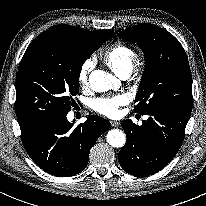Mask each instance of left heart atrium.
<instances>
[{
	"label": "left heart atrium",
	"instance_id": "obj_1",
	"mask_svg": "<svg viewBox=\"0 0 206 206\" xmlns=\"http://www.w3.org/2000/svg\"><path fill=\"white\" fill-rule=\"evenodd\" d=\"M130 100L127 94H118L112 97L97 98L92 103V108L96 112L107 116L117 117L120 115V108L126 105Z\"/></svg>",
	"mask_w": 206,
	"mask_h": 206
}]
</instances>
